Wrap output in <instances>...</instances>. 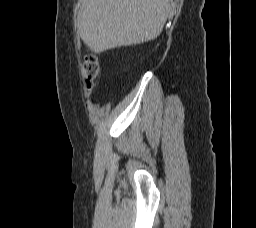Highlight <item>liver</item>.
Masks as SVG:
<instances>
[{
	"mask_svg": "<svg viewBox=\"0 0 256 228\" xmlns=\"http://www.w3.org/2000/svg\"><path fill=\"white\" fill-rule=\"evenodd\" d=\"M79 32L95 53L157 38L166 23L170 0H82Z\"/></svg>",
	"mask_w": 256,
	"mask_h": 228,
	"instance_id": "liver-1",
	"label": "liver"
}]
</instances>
